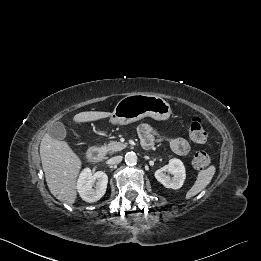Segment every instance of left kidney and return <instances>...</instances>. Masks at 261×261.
I'll return each mask as SVG.
<instances>
[{"instance_id":"obj_1","label":"left kidney","mask_w":261,"mask_h":261,"mask_svg":"<svg viewBox=\"0 0 261 261\" xmlns=\"http://www.w3.org/2000/svg\"><path fill=\"white\" fill-rule=\"evenodd\" d=\"M169 174L173 175V178ZM155 178L166 188L179 189L186 178L185 167L181 160L170 159L168 165L155 172Z\"/></svg>"}]
</instances>
